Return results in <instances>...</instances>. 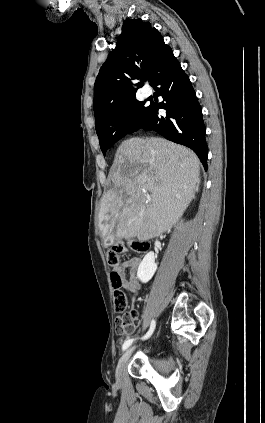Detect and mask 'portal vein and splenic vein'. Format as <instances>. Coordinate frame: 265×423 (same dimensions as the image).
<instances>
[{
    "mask_svg": "<svg viewBox=\"0 0 265 423\" xmlns=\"http://www.w3.org/2000/svg\"><path fill=\"white\" fill-rule=\"evenodd\" d=\"M149 201H151V197H150L149 195H147V200H146V202H149Z\"/></svg>",
    "mask_w": 265,
    "mask_h": 423,
    "instance_id": "1",
    "label": "portal vein and splenic vein"
}]
</instances>
